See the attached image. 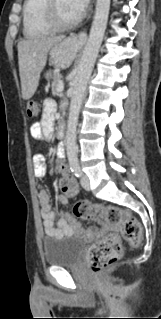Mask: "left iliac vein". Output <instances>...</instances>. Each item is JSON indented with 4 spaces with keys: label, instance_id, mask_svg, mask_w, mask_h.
<instances>
[{
    "label": "left iliac vein",
    "instance_id": "obj_1",
    "mask_svg": "<svg viewBox=\"0 0 161 319\" xmlns=\"http://www.w3.org/2000/svg\"><path fill=\"white\" fill-rule=\"evenodd\" d=\"M81 186L86 189V190H90V182H89V178L86 175H83L81 177Z\"/></svg>",
    "mask_w": 161,
    "mask_h": 319
}]
</instances>
